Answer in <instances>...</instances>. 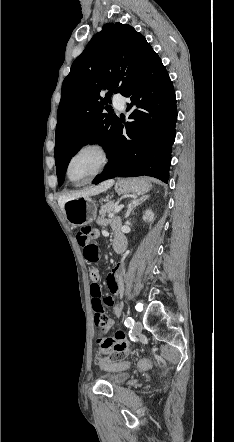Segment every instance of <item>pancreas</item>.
Wrapping results in <instances>:
<instances>
[{
  "label": "pancreas",
  "instance_id": "cf45deb5",
  "mask_svg": "<svg viewBox=\"0 0 234 442\" xmlns=\"http://www.w3.org/2000/svg\"><path fill=\"white\" fill-rule=\"evenodd\" d=\"M117 206H118L117 202L110 201V202H108V203H106V204L101 206L99 214L102 215V216H104L106 214H110V213H112L115 210V208Z\"/></svg>",
  "mask_w": 234,
  "mask_h": 442
}]
</instances>
